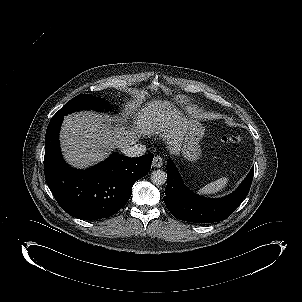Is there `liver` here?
<instances>
[{"label": "liver", "instance_id": "6515ba94", "mask_svg": "<svg viewBox=\"0 0 302 302\" xmlns=\"http://www.w3.org/2000/svg\"><path fill=\"white\" fill-rule=\"evenodd\" d=\"M129 108L135 121L128 130L122 123L90 111L66 116L60 133L66 161L78 168L91 166L107 157L113 149L133 146L137 135H158L172 154H179L186 123L179 110L161 101H152L139 111L135 104Z\"/></svg>", "mask_w": 302, "mask_h": 302}]
</instances>
